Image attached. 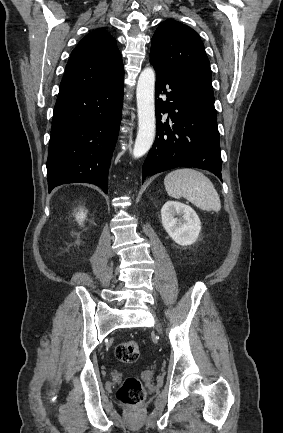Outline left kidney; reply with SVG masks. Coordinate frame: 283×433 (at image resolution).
<instances>
[{"instance_id": "5707ae66", "label": "left kidney", "mask_w": 283, "mask_h": 433, "mask_svg": "<svg viewBox=\"0 0 283 433\" xmlns=\"http://www.w3.org/2000/svg\"><path fill=\"white\" fill-rule=\"evenodd\" d=\"M181 216V218H177ZM162 225L169 236L182 246L196 242L201 222L196 212L188 205L177 201H167L161 209Z\"/></svg>"}]
</instances>
